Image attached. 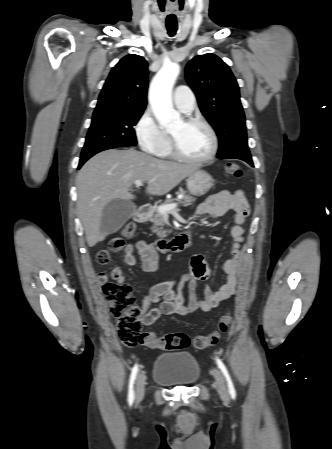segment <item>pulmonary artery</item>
<instances>
[{
    "label": "pulmonary artery",
    "instance_id": "pulmonary-artery-1",
    "mask_svg": "<svg viewBox=\"0 0 332 449\" xmlns=\"http://www.w3.org/2000/svg\"><path fill=\"white\" fill-rule=\"evenodd\" d=\"M173 103L181 112H191L195 106V96L186 85L176 87L173 94Z\"/></svg>",
    "mask_w": 332,
    "mask_h": 449
}]
</instances>
